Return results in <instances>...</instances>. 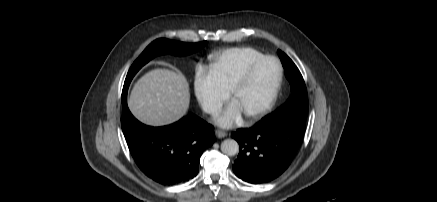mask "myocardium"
<instances>
[{"label": "myocardium", "instance_id": "obj_1", "mask_svg": "<svg viewBox=\"0 0 437 202\" xmlns=\"http://www.w3.org/2000/svg\"><path fill=\"white\" fill-rule=\"evenodd\" d=\"M270 60L277 64L278 74L266 102L255 112L246 115V119L250 122L260 119L273 107L283 80V66L281 62L278 60V58L271 55L263 56L254 60L248 65L243 74L238 78L230 90V96L233 99L237 92H239L249 82L256 68L263 62Z\"/></svg>", "mask_w": 437, "mask_h": 202}]
</instances>
